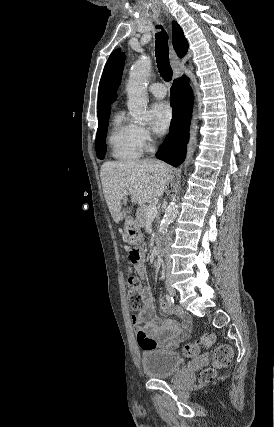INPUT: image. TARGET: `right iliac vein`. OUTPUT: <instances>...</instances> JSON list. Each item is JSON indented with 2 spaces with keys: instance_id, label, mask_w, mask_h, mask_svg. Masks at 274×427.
<instances>
[{
  "instance_id": "obj_1",
  "label": "right iliac vein",
  "mask_w": 274,
  "mask_h": 427,
  "mask_svg": "<svg viewBox=\"0 0 274 427\" xmlns=\"http://www.w3.org/2000/svg\"><path fill=\"white\" fill-rule=\"evenodd\" d=\"M167 288H168V291L172 294V295H176V291L173 289V288H171L169 285L167 286Z\"/></svg>"
}]
</instances>
